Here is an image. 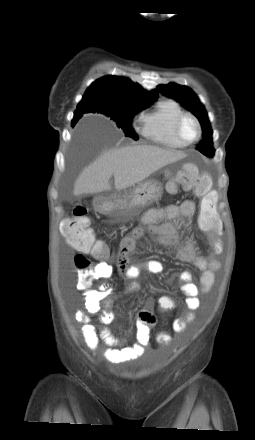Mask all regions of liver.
I'll list each match as a JSON object with an SVG mask.
<instances>
[{
  "label": "liver",
  "mask_w": 255,
  "mask_h": 440,
  "mask_svg": "<svg viewBox=\"0 0 255 440\" xmlns=\"http://www.w3.org/2000/svg\"><path fill=\"white\" fill-rule=\"evenodd\" d=\"M183 157L185 154L180 151L150 145L105 150L80 173L73 194L79 196L110 191L112 187L109 179L112 175L115 189L124 190Z\"/></svg>",
  "instance_id": "6515ba94"
}]
</instances>
